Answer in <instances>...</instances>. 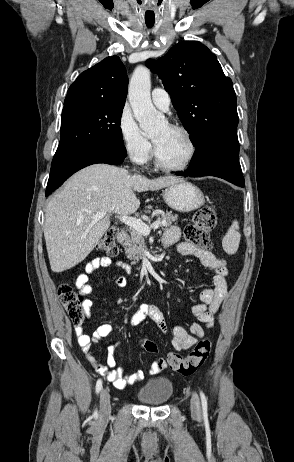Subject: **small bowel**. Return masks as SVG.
<instances>
[{
    "label": "small bowel",
    "mask_w": 294,
    "mask_h": 462,
    "mask_svg": "<svg viewBox=\"0 0 294 462\" xmlns=\"http://www.w3.org/2000/svg\"><path fill=\"white\" fill-rule=\"evenodd\" d=\"M180 230L176 226L168 228L163 236V245L168 247L176 245L178 252L181 255H193L207 266L213 278V288L204 289L200 292V302L193 306V315L205 326L212 325L213 315L219 309L227 294V276L228 271L226 262L216 258L213 254H205L196 249L189 242H179ZM115 265L127 269V266L120 261H113L110 257H98L88 262L85 266L84 272L81 273L76 279V287L82 296H88L92 293V286L89 283V276L100 268ZM116 284L120 287L126 285V279L120 277L116 280ZM90 299L84 300V309L87 316L90 318V310L92 307ZM146 319L154 322L162 332L167 331V324L165 316L156 304L143 303L139 306L137 311L130 317L129 325L138 326ZM113 327L110 323L104 322L98 325L91 336L85 333V328L81 325L75 327V333L78 343L92 368L100 375L106 377L116 388H124L132 385L143 379L144 373L136 371L133 373L125 374L122 366H117L115 351L121 342H115L108 347L106 357V364L97 360L92 351V344L98 343L103 338L111 334ZM204 335V328L202 325L193 323L188 329L182 326H175L173 328L172 345L175 350L183 351L192 347ZM165 367L160 364V360L154 361L150 366L148 373L156 375L160 373Z\"/></svg>",
    "instance_id": "c3829d8e"
}]
</instances>
